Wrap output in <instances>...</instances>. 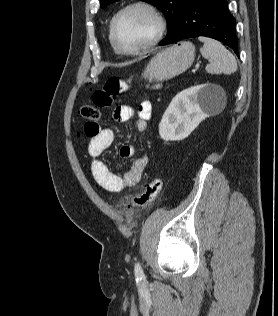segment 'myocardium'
<instances>
[{"label": "myocardium", "mask_w": 278, "mask_h": 316, "mask_svg": "<svg viewBox=\"0 0 278 316\" xmlns=\"http://www.w3.org/2000/svg\"><path fill=\"white\" fill-rule=\"evenodd\" d=\"M135 9H141L146 11L151 15V17L154 19L155 22V32L153 37L144 45L133 49V50H125L121 48L115 37V26L118 21V19L125 13L135 10ZM166 30V22L163 17V15L160 13V11L154 6L152 3L144 0H137L133 1L131 3H128L127 5L123 6L120 8L112 17L110 21V26H109V38L110 42L115 49L116 52L122 54V55H127V56H136L139 54H142L151 48H153L163 37L164 33Z\"/></svg>", "instance_id": "f54148a6"}]
</instances>
